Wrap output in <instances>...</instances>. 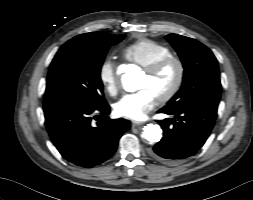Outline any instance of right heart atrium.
Here are the masks:
<instances>
[{
	"label": "right heart atrium",
	"mask_w": 253,
	"mask_h": 200,
	"mask_svg": "<svg viewBox=\"0 0 253 200\" xmlns=\"http://www.w3.org/2000/svg\"><path fill=\"white\" fill-rule=\"evenodd\" d=\"M119 77L117 64L111 58L104 59L99 68V79L110 95L117 94L120 87Z\"/></svg>",
	"instance_id": "d8ad5b80"
}]
</instances>
